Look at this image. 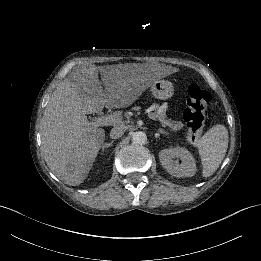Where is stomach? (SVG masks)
I'll return each mask as SVG.
<instances>
[{"instance_id":"stomach-1","label":"stomach","mask_w":261,"mask_h":261,"mask_svg":"<svg viewBox=\"0 0 261 261\" xmlns=\"http://www.w3.org/2000/svg\"><path fill=\"white\" fill-rule=\"evenodd\" d=\"M173 85L166 80L155 81L151 87L152 95L161 100H166L173 95Z\"/></svg>"}]
</instances>
